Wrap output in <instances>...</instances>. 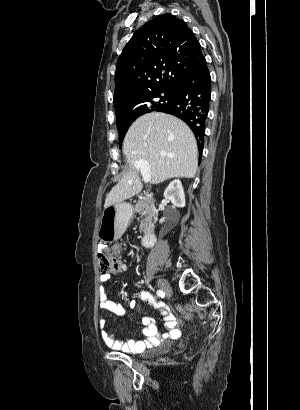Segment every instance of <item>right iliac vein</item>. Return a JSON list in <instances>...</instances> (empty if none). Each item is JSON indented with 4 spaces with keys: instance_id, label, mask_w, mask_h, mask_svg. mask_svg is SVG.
Listing matches in <instances>:
<instances>
[{
    "instance_id": "obj_1",
    "label": "right iliac vein",
    "mask_w": 300,
    "mask_h": 410,
    "mask_svg": "<svg viewBox=\"0 0 300 410\" xmlns=\"http://www.w3.org/2000/svg\"><path fill=\"white\" fill-rule=\"evenodd\" d=\"M157 285L161 290L167 293L171 292L172 290L170 284L164 279L157 280Z\"/></svg>"
}]
</instances>
